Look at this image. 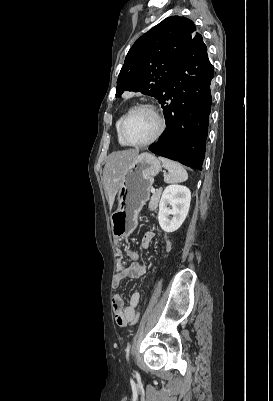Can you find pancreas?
<instances>
[{
	"label": "pancreas",
	"mask_w": 273,
	"mask_h": 401,
	"mask_svg": "<svg viewBox=\"0 0 273 401\" xmlns=\"http://www.w3.org/2000/svg\"><path fill=\"white\" fill-rule=\"evenodd\" d=\"M160 194H161V188H159V190H156V192H153V194H152V196L150 198V203H149L150 211H155V209H157L158 203H159Z\"/></svg>",
	"instance_id": "cf45deb5"
}]
</instances>
